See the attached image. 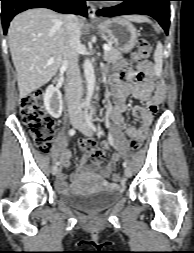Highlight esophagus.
<instances>
[{"mask_svg": "<svg viewBox=\"0 0 194 253\" xmlns=\"http://www.w3.org/2000/svg\"><path fill=\"white\" fill-rule=\"evenodd\" d=\"M88 16L90 19H95V7L92 3L87 2Z\"/></svg>", "mask_w": 194, "mask_h": 253, "instance_id": "34e87169", "label": "esophagus"}]
</instances>
